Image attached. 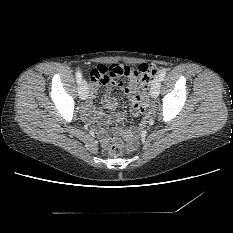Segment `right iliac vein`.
Returning <instances> with one entry per match:
<instances>
[{
    "label": "right iliac vein",
    "mask_w": 233,
    "mask_h": 233,
    "mask_svg": "<svg viewBox=\"0 0 233 233\" xmlns=\"http://www.w3.org/2000/svg\"><path fill=\"white\" fill-rule=\"evenodd\" d=\"M88 92H89V89H88V85H87V82L85 80H83L79 86V95H80V98L85 100L87 99L88 97Z\"/></svg>",
    "instance_id": "right-iliac-vein-1"
}]
</instances>
